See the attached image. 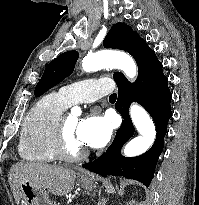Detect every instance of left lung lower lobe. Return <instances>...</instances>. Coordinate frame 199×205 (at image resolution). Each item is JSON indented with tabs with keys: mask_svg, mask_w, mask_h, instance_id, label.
Instances as JSON below:
<instances>
[{
	"mask_svg": "<svg viewBox=\"0 0 199 205\" xmlns=\"http://www.w3.org/2000/svg\"><path fill=\"white\" fill-rule=\"evenodd\" d=\"M127 52L134 57L139 72L135 83L128 82L122 73L114 78L118 86L115 108L124 118L123 123L107 151L82 167L104 177L123 176L134 179L148 187L163 150L167 123L171 117L172 95L168 88V79L162 71V63L144 39L137 35ZM133 101L142 105L151 115L156 125L157 135L153 146L147 152L137 157H124L120 150L134 134L129 116V106Z\"/></svg>",
	"mask_w": 199,
	"mask_h": 205,
	"instance_id": "1",
	"label": "left lung lower lobe"
}]
</instances>
